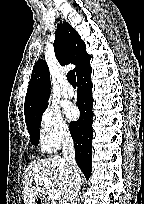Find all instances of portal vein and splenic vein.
<instances>
[{
	"instance_id": "obj_1",
	"label": "portal vein and splenic vein",
	"mask_w": 144,
	"mask_h": 204,
	"mask_svg": "<svg viewBox=\"0 0 144 204\" xmlns=\"http://www.w3.org/2000/svg\"><path fill=\"white\" fill-rule=\"evenodd\" d=\"M35 182H43L46 189H50L52 186V181L43 176H36L34 178ZM48 197L51 201H56L60 198V193L55 189H50L48 192Z\"/></svg>"
}]
</instances>
